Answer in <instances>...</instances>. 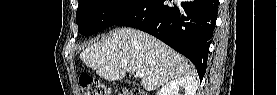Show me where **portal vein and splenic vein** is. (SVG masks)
<instances>
[{
  "label": "portal vein and splenic vein",
  "mask_w": 277,
  "mask_h": 95,
  "mask_svg": "<svg viewBox=\"0 0 277 95\" xmlns=\"http://www.w3.org/2000/svg\"><path fill=\"white\" fill-rule=\"evenodd\" d=\"M143 76V73L140 72V71H136V77H142Z\"/></svg>",
  "instance_id": "1"
}]
</instances>
